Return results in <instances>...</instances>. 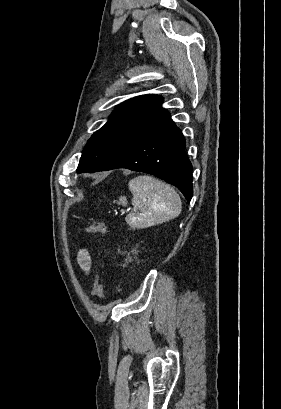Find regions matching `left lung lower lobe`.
Returning a JSON list of instances; mask_svg holds the SVG:
<instances>
[{"label":"left lung lower lobe","mask_w":281,"mask_h":409,"mask_svg":"<svg viewBox=\"0 0 281 409\" xmlns=\"http://www.w3.org/2000/svg\"><path fill=\"white\" fill-rule=\"evenodd\" d=\"M185 139L172 120L113 157L98 171L127 168L155 175L176 186L189 202L193 195L192 165Z\"/></svg>","instance_id":"left-lung-lower-lobe-1"}]
</instances>
